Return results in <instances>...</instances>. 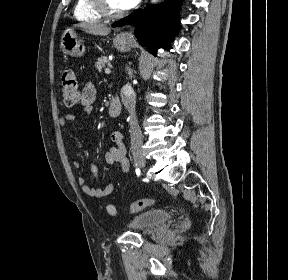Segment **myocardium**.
<instances>
[{
    "label": "myocardium",
    "mask_w": 288,
    "mask_h": 280,
    "mask_svg": "<svg viewBox=\"0 0 288 280\" xmlns=\"http://www.w3.org/2000/svg\"><path fill=\"white\" fill-rule=\"evenodd\" d=\"M92 4L97 13L104 18L115 19L124 14L122 11H112L106 0H92Z\"/></svg>",
    "instance_id": "f54148a6"
}]
</instances>
